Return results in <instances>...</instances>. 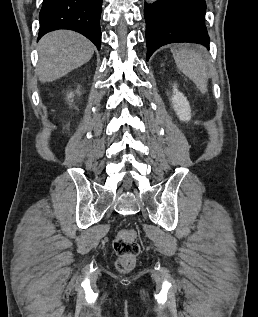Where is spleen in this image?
Segmentation results:
<instances>
[{"label":"spleen","mask_w":258,"mask_h":317,"mask_svg":"<svg viewBox=\"0 0 258 317\" xmlns=\"http://www.w3.org/2000/svg\"><path fill=\"white\" fill-rule=\"evenodd\" d=\"M175 62L189 76L201 92H207V66L206 62L199 50L190 48V46H182V48H171Z\"/></svg>","instance_id":"1"}]
</instances>
